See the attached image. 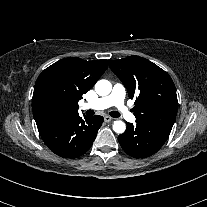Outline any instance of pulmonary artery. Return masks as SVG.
<instances>
[{"label": "pulmonary artery", "instance_id": "e3ab8cb5", "mask_svg": "<svg viewBox=\"0 0 207 207\" xmlns=\"http://www.w3.org/2000/svg\"><path fill=\"white\" fill-rule=\"evenodd\" d=\"M124 97V87L121 84H116L108 96L98 98L93 102L85 104L84 109L102 110L110 106H116L122 116H124L128 121L134 122L135 117L128 112V109L124 104Z\"/></svg>", "mask_w": 207, "mask_h": 207}]
</instances>
